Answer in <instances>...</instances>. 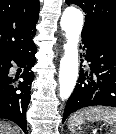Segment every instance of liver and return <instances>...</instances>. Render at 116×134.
Segmentation results:
<instances>
[{
    "mask_svg": "<svg viewBox=\"0 0 116 134\" xmlns=\"http://www.w3.org/2000/svg\"><path fill=\"white\" fill-rule=\"evenodd\" d=\"M0 134H19V131L9 123L0 121Z\"/></svg>",
    "mask_w": 116,
    "mask_h": 134,
    "instance_id": "6515ba94",
    "label": "liver"
}]
</instances>
